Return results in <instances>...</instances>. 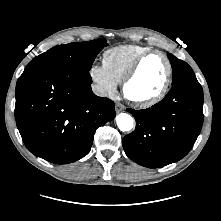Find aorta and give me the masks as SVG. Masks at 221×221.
I'll list each match as a JSON object with an SVG mask.
<instances>
[{"label": "aorta", "mask_w": 221, "mask_h": 221, "mask_svg": "<svg viewBox=\"0 0 221 221\" xmlns=\"http://www.w3.org/2000/svg\"><path fill=\"white\" fill-rule=\"evenodd\" d=\"M116 123L118 128L123 131H130L134 125V119L131 115L127 113H121L116 116Z\"/></svg>", "instance_id": "obj_1"}]
</instances>
